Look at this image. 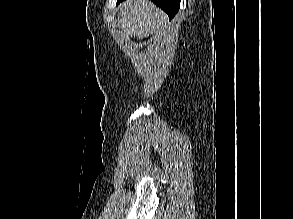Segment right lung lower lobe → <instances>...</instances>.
I'll return each mask as SVG.
<instances>
[{"label":"right lung lower lobe","mask_w":293,"mask_h":219,"mask_svg":"<svg viewBox=\"0 0 293 219\" xmlns=\"http://www.w3.org/2000/svg\"><path fill=\"white\" fill-rule=\"evenodd\" d=\"M123 0H117V4L122 2ZM157 6H159L162 10H164L170 19H172L175 14L178 12L180 7V0H151Z\"/></svg>","instance_id":"98d812e1"}]
</instances>
